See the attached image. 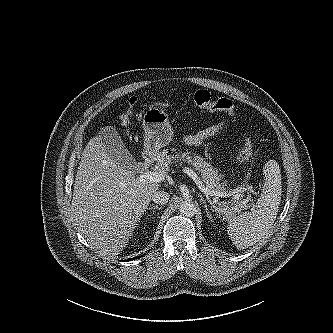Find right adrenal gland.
Listing matches in <instances>:
<instances>
[{
  "label": "right adrenal gland",
  "instance_id": "right-adrenal-gland-1",
  "mask_svg": "<svg viewBox=\"0 0 333 333\" xmlns=\"http://www.w3.org/2000/svg\"><path fill=\"white\" fill-rule=\"evenodd\" d=\"M152 209H154V210H161L162 207H159L158 205H153V206H150V207L148 208V210H152Z\"/></svg>",
  "mask_w": 333,
  "mask_h": 333
}]
</instances>
